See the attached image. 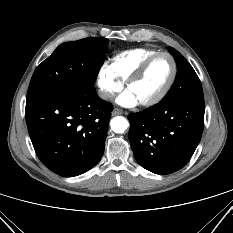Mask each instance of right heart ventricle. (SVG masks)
Masks as SVG:
<instances>
[{
  "mask_svg": "<svg viewBox=\"0 0 233 233\" xmlns=\"http://www.w3.org/2000/svg\"><path fill=\"white\" fill-rule=\"evenodd\" d=\"M156 53L158 51L151 48H136L124 51L111 59L109 68L122 83H125L146 59Z\"/></svg>",
  "mask_w": 233,
  "mask_h": 233,
  "instance_id": "right-heart-ventricle-1",
  "label": "right heart ventricle"
}]
</instances>
